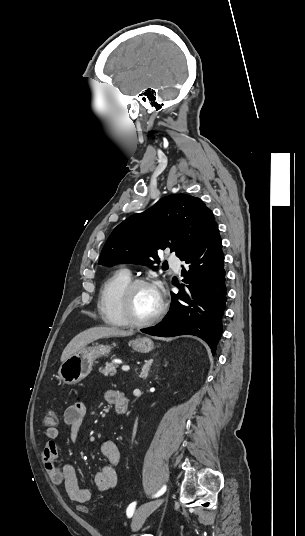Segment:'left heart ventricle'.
Returning a JSON list of instances; mask_svg holds the SVG:
<instances>
[{
	"mask_svg": "<svg viewBox=\"0 0 305 536\" xmlns=\"http://www.w3.org/2000/svg\"><path fill=\"white\" fill-rule=\"evenodd\" d=\"M160 305L158 290L150 285H140L131 295V308L136 317L144 318L155 313Z\"/></svg>",
	"mask_w": 305,
	"mask_h": 536,
	"instance_id": "b2bd125f",
	"label": "left heart ventricle"
}]
</instances>
